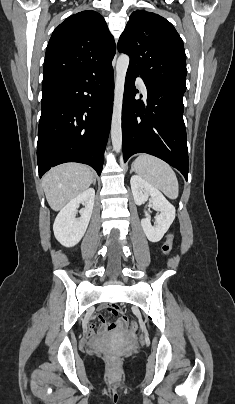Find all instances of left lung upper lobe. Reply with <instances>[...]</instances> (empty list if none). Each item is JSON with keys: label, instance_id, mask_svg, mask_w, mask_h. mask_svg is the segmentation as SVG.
<instances>
[{"label": "left lung upper lobe", "instance_id": "left-lung-upper-lobe-1", "mask_svg": "<svg viewBox=\"0 0 235 404\" xmlns=\"http://www.w3.org/2000/svg\"><path fill=\"white\" fill-rule=\"evenodd\" d=\"M119 52L130 57L128 69L145 80L184 93L186 55L183 41L174 26L158 14L133 12L118 42Z\"/></svg>", "mask_w": 235, "mask_h": 404}]
</instances>
